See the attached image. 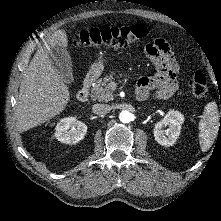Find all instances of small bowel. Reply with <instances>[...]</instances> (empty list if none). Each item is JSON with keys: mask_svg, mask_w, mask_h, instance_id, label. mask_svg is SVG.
<instances>
[{"mask_svg": "<svg viewBox=\"0 0 221 221\" xmlns=\"http://www.w3.org/2000/svg\"><path fill=\"white\" fill-rule=\"evenodd\" d=\"M145 53L156 68L153 77H143L137 83V94L146 97L150 92L159 98H169L177 90L178 64L164 39H156L148 44Z\"/></svg>", "mask_w": 221, "mask_h": 221, "instance_id": "obj_1", "label": "small bowel"}]
</instances>
